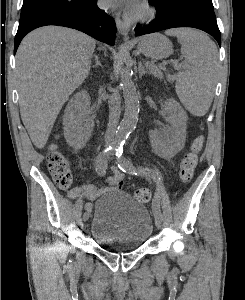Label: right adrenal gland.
Here are the masks:
<instances>
[{"label": "right adrenal gland", "mask_w": 245, "mask_h": 300, "mask_svg": "<svg viewBox=\"0 0 245 300\" xmlns=\"http://www.w3.org/2000/svg\"><path fill=\"white\" fill-rule=\"evenodd\" d=\"M94 58H95V65L93 66L94 68L100 66L102 67L100 61H99V57L97 55H94Z\"/></svg>", "instance_id": "2a0ac1e0"}]
</instances>
